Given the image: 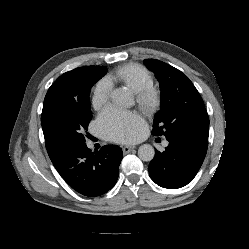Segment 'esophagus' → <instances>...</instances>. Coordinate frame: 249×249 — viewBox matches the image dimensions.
<instances>
[{
  "mask_svg": "<svg viewBox=\"0 0 249 249\" xmlns=\"http://www.w3.org/2000/svg\"><path fill=\"white\" fill-rule=\"evenodd\" d=\"M135 147L134 146H123L122 150L124 154L129 153L130 151H132Z\"/></svg>",
  "mask_w": 249,
  "mask_h": 249,
  "instance_id": "34e87169",
  "label": "esophagus"
}]
</instances>
